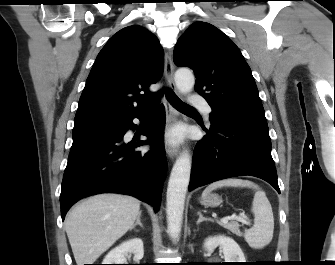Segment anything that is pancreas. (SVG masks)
<instances>
[{
    "instance_id": "1",
    "label": "pancreas",
    "mask_w": 335,
    "mask_h": 265,
    "mask_svg": "<svg viewBox=\"0 0 335 265\" xmlns=\"http://www.w3.org/2000/svg\"><path fill=\"white\" fill-rule=\"evenodd\" d=\"M222 226L231 231L233 234H236L237 236H241V232L239 229V223L237 221H230L228 223H223Z\"/></svg>"
}]
</instances>
